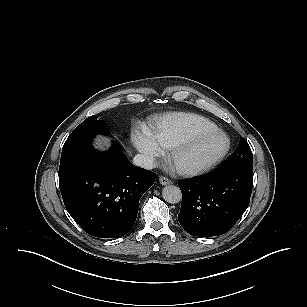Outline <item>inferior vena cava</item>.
<instances>
[{"label":"inferior vena cava","instance_id":"1","mask_svg":"<svg viewBox=\"0 0 307 307\" xmlns=\"http://www.w3.org/2000/svg\"><path fill=\"white\" fill-rule=\"evenodd\" d=\"M133 163L136 166L151 170L155 167L154 164V160L147 156V155H143V154H137L135 155V157L133 158Z\"/></svg>","mask_w":307,"mask_h":307}]
</instances>
